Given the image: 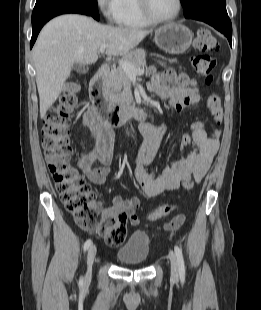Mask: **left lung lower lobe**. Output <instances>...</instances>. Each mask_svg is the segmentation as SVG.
Returning <instances> with one entry per match:
<instances>
[{
    "mask_svg": "<svg viewBox=\"0 0 261 310\" xmlns=\"http://www.w3.org/2000/svg\"><path fill=\"white\" fill-rule=\"evenodd\" d=\"M196 20L205 22L214 27L215 29H217L218 31H220L221 33H223L228 38V41L231 45L232 25L228 17V14L219 15L215 17L200 18Z\"/></svg>",
    "mask_w": 261,
    "mask_h": 310,
    "instance_id": "obj_1",
    "label": "left lung lower lobe"
}]
</instances>
